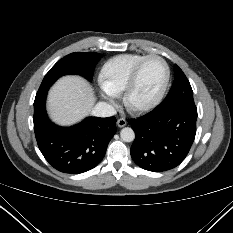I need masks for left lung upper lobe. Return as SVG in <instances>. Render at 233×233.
<instances>
[{"instance_id": "1", "label": "left lung upper lobe", "mask_w": 233, "mask_h": 233, "mask_svg": "<svg viewBox=\"0 0 233 233\" xmlns=\"http://www.w3.org/2000/svg\"><path fill=\"white\" fill-rule=\"evenodd\" d=\"M175 80L166 96V98L158 105L164 107L175 103H194L193 91L191 85L183 71L174 65Z\"/></svg>"}]
</instances>
